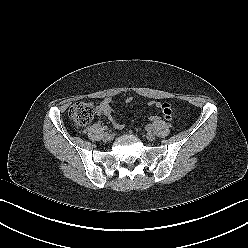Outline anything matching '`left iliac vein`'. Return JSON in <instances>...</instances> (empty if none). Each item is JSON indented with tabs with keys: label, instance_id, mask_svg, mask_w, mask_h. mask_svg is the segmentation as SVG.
Returning a JSON list of instances; mask_svg holds the SVG:
<instances>
[{
	"label": "left iliac vein",
	"instance_id": "left-iliac-vein-1",
	"mask_svg": "<svg viewBox=\"0 0 248 248\" xmlns=\"http://www.w3.org/2000/svg\"><path fill=\"white\" fill-rule=\"evenodd\" d=\"M146 138L149 141H154L156 139L155 135L151 132L147 133Z\"/></svg>",
	"mask_w": 248,
	"mask_h": 248
}]
</instances>
